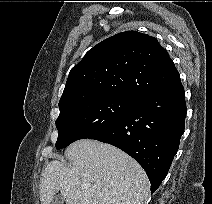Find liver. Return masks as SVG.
Instances as JSON below:
<instances>
[{
  "label": "liver",
  "mask_w": 212,
  "mask_h": 204,
  "mask_svg": "<svg viewBox=\"0 0 212 204\" xmlns=\"http://www.w3.org/2000/svg\"><path fill=\"white\" fill-rule=\"evenodd\" d=\"M67 167L49 162L40 179L41 204L60 191L66 204H144L149 180L143 168L117 147L81 139L67 147Z\"/></svg>",
  "instance_id": "obj_1"
}]
</instances>
